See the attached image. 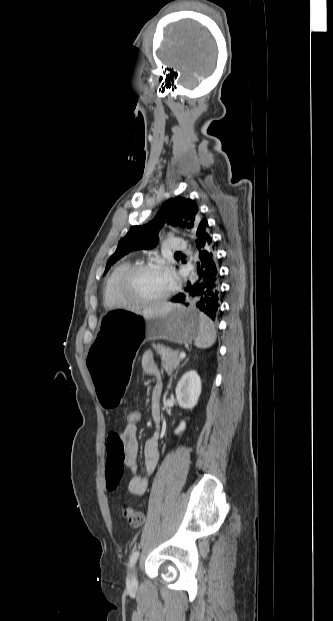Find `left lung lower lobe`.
<instances>
[{
	"label": "left lung lower lobe",
	"mask_w": 333,
	"mask_h": 621,
	"mask_svg": "<svg viewBox=\"0 0 333 621\" xmlns=\"http://www.w3.org/2000/svg\"><path fill=\"white\" fill-rule=\"evenodd\" d=\"M195 242L200 258L197 268L199 281L193 285L188 283L185 290L192 296H198L197 307L212 320H215L220 307V274L208 224L197 231ZM186 300L187 298L183 293H179L171 299L172 302L183 304L186 303Z\"/></svg>",
	"instance_id": "1"
}]
</instances>
